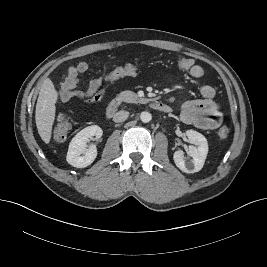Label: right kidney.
<instances>
[{
    "label": "right kidney",
    "instance_id": "obj_1",
    "mask_svg": "<svg viewBox=\"0 0 267 267\" xmlns=\"http://www.w3.org/2000/svg\"><path fill=\"white\" fill-rule=\"evenodd\" d=\"M103 134L102 129L97 125H92L78 132L71 140L67 152L66 160L73 167L85 168L89 166L97 157L95 145L87 148V141L96 137L99 139Z\"/></svg>",
    "mask_w": 267,
    "mask_h": 267
}]
</instances>
